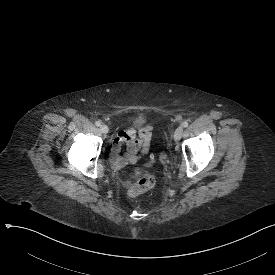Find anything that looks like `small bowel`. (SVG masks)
I'll list each match as a JSON object with an SVG mask.
<instances>
[{
	"instance_id": "1",
	"label": "small bowel",
	"mask_w": 275,
	"mask_h": 275,
	"mask_svg": "<svg viewBox=\"0 0 275 275\" xmlns=\"http://www.w3.org/2000/svg\"><path fill=\"white\" fill-rule=\"evenodd\" d=\"M153 126L151 124L142 125L141 127H129L125 132L118 130L112 147V163L117 168H122L128 163H134L141 154L147 152L149 143L152 139L151 132ZM137 138V139H135ZM125 153L121 155V151Z\"/></svg>"
}]
</instances>
